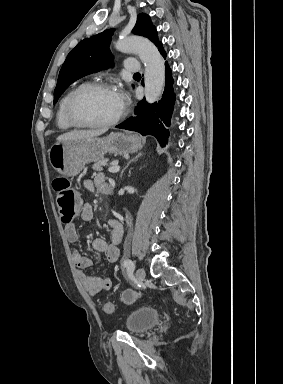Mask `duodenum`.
<instances>
[{
  "label": "duodenum",
  "instance_id": "obj_1",
  "mask_svg": "<svg viewBox=\"0 0 283 384\" xmlns=\"http://www.w3.org/2000/svg\"><path fill=\"white\" fill-rule=\"evenodd\" d=\"M107 193H109V194H112L113 193V191L108 187L107 188V191H106Z\"/></svg>",
  "mask_w": 283,
  "mask_h": 384
}]
</instances>
